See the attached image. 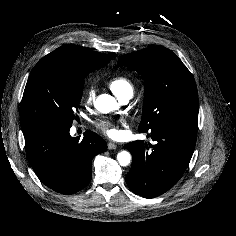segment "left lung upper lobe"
I'll use <instances>...</instances> for the list:
<instances>
[{"label": "left lung upper lobe", "mask_w": 236, "mask_h": 236, "mask_svg": "<svg viewBox=\"0 0 236 236\" xmlns=\"http://www.w3.org/2000/svg\"><path fill=\"white\" fill-rule=\"evenodd\" d=\"M136 70L145 79L140 132L168 123L197 126L198 92L193 75L171 50L153 47L121 56L117 66Z\"/></svg>", "instance_id": "left-lung-upper-lobe-1"}]
</instances>
